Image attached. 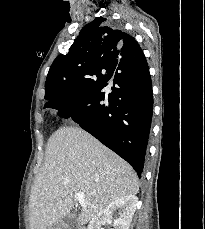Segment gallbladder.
I'll list each match as a JSON object with an SVG mask.
<instances>
[{
  "mask_svg": "<svg viewBox=\"0 0 205 229\" xmlns=\"http://www.w3.org/2000/svg\"><path fill=\"white\" fill-rule=\"evenodd\" d=\"M76 213H72L70 217L66 218L64 220V224L62 222H58L57 224H54L53 226L49 227L48 229H57V227L63 226L64 229H75L76 226V220H75Z\"/></svg>",
  "mask_w": 205,
  "mask_h": 229,
  "instance_id": "1",
  "label": "gallbladder"
}]
</instances>
